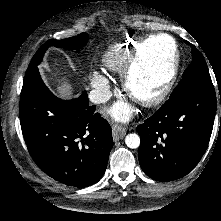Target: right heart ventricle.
Wrapping results in <instances>:
<instances>
[{
    "mask_svg": "<svg viewBox=\"0 0 221 221\" xmlns=\"http://www.w3.org/2000/svg\"><path fill=\"white\" fill-rule=\"evenodd\" d=\"M142 37H132L111 44L104 52L101 67L106 74H120Z\"/></svg>",
    "mask_w": 221,
    "mask_h": 221,
    "instance_id": "obj_1",
    "label": "right heart ventricle"
}]
</instances>
